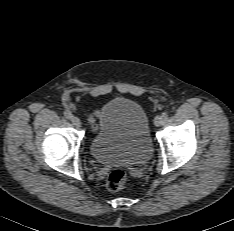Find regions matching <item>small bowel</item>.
Segmentation results:
<instances>
[{
  "mask_svg": "<svg viewBox=\"0 0 234 231\" xmlns=\"http://www.w3.org/2000/svg\"><path fill=\"white\" fill-rule=\"evenodd\" d=\"M97 115H98V113H96V114L94 115V117L91 119L92 125H93L94 127H96L94 121H95V117H97Z\"/></svg>",
  "mask_w": 234,
  "mask_h": 231,
  "instance_id": "c3829d8e",
  "label": "small bowel"
}]
</instances>
